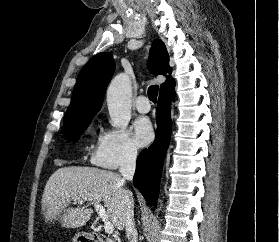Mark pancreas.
<instances>
[{
	"instance_id": "obj_1",
	"label": "pancreas",
	"mask_w": 279,
	"mask_h": 242,
	"mask_svg": "<svg viewBox=\"0 0 279 242\" xmlns=\"http://www.w3.org/2000/svg\"><path fill=\"white\" fill-rule=\"evenodd\" d=\"M106 242H117V240H116V239L107 238V239H106Z\"/></svg>"
}]
</instances>
